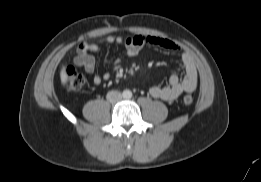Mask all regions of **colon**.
<instances>
[{"label":"colon","mask_w":261,"mask_h":182,"mask_svg":"<svg viewBox=\"0 0 261 182\" xmlns=\"http://www.w3.org/2000/svg\"><path fill=\"white\" fill-rule=\"evenodd\" d=\"M66 86L68 90L74 92H80L85 90L87 86V78L82 73H79L75 69L68 67L64 71ZM193 102V96L190 94H186L183 97V103L185 105H190Z\"/></svg>","instance_id":"colon-1"}]
</instances>
